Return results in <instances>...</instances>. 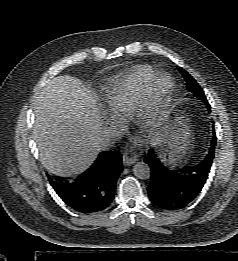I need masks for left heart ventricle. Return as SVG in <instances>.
<instances>
[{"instance_id": "1", "label": "left heart ventricle", "mask_w": 238, "mask_h": 261, "mask_svg": "<svg viewBox=\"0 0 238 261\" xmlns=\"http://www.w3.org/2000/svg\"><path fill=\"white\" fill-rule=\"evenodd\" d=\"M167 85V81L166 80H162L160 81V83L157 86V90L160 92L162 91Z\"/></svg>"}]
</instances>
